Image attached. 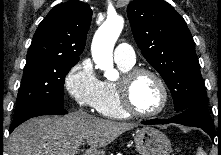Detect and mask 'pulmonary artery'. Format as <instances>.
<instances>
[{
    "label": "pulmonary artery",
    "instance_id": "obj_1",
    "mask_svg": "<svg viewBox=\"0 0 221 155\" xmlns=\"http://www.w3.org/2000/svg\"><path fill=\"white\" fill-rule=\"evenodd\" d=\"M114 59L117 63L133 65L136 61V56L129 44L121 43L115 48Z\"/></svg>",
    "mask_w": 221,
    "mask_h": 155
}]
</instances>
